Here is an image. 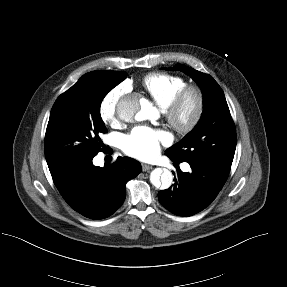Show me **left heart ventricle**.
I'll return each mask as SVG.
<instances>
[{"label":"left heart ventricle","instance_id":"obj_1","mask_svg":"<svg viewBox=\"0 0 287 287\" xmlns=\"http://www.w3.org/2000/svg\"><path fill=\"white\" fill-rule=\"evenodd\" d=\"M192 110H193V103L189 102L184 109L183 117L187 118L191 114Z\"/></svg>","mask_w":287,"mask_h":287}]
</instances>
